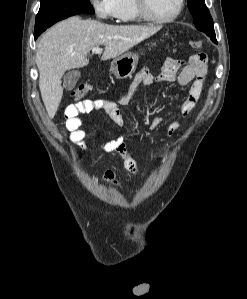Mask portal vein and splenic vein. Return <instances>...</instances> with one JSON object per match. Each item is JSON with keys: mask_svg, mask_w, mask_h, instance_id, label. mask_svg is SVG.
I'll use <instances>...</instances> for the list:
<instances>
[{"mask_svg": "<svg viewBox=\"0 0 247 299\" xmlns=\"http://www.w3.org/2000/svg\"><path fill=\"white\" fill-rule=\"evenodd\" d=\"M101 51H102V48H99V47H93L92 48L93 53H100Z\"/></svg>", "mask_w": 247, "mask_h": 299, "instance_id": "1", "label": "portal vein and splenic vein"}]
</instances>
